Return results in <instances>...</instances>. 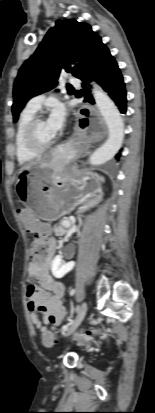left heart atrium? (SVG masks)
I'll list each match as a JSON object with an SVG mask.
<instances>
[{
    "mask_svg": "<svg viewBox=\"0 0 155 413\" xmlns=\"http://www.w3.org/2000/svg\"><path fill=\"white\" fill-rule=\"evenodd\" d=\"M66 110L61 103H55L51 107L49 117L46 121L47 127L53 136H56L64 127Z\"/></svg>",
    "mask_w": 155,
    "mask_h": 413,
    "instance_id": "obj_1",
    "label": "left heart atrium"
}]
</instances>
